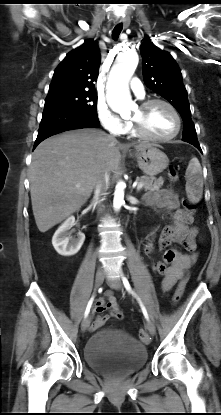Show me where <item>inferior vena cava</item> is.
<instances>
[{
  "label": "inferior vena cava",
  "instance_id": "obj_1",
  "mask_svg": "<svg viewBox=\"0 0 221 415\" xmlns=\"http://www.w3.org/2000/svg\"><path fill=\"white\" fill-rule=\"evenodd\" d=\"M108 183H109V174L107 171H105L103 174L100 175L95 185L94 198L96 200H99L101 196L104 195Z\"/></svg>",
  "mask_w": 221,
  "mask_h": 415
}]
</instances>
